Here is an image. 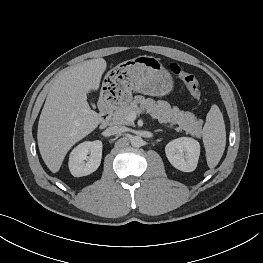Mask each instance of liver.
<instances>
[{
	"instance_id": "1",
	"label": "liver",
	"mask_w": 263,
	"mask_h": 263,
	"mask_svg": "<svg viewBox=\"0 0 263 263\" xmlns=\"http://www.w3.org/2000/svg\"><path fill=\"white\" fill-rule=\"evenodd\" d=\"M106 68L103 58L87 60L69 67L51 85L37 131L40 154L51 172H58L70 148L100 124L87 94L98 90Z\"/></svg>"
}]
</instances>
